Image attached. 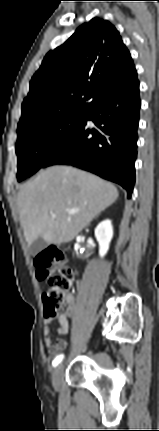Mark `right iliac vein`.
Listing matches in <instances>:
<instances>
[{"label":"right iliac vein","instance_id":"63e3f726","mask_svg":"<svg viewBox=\"0 0 159 431\" xmlns=\"http://www.w3.org/2000/svg\"><path fill=\"white\" fill-rule=\"evenodd\" d=\"M64 371V365L60 364L53 371L52 382L53 386L57 389L60 386L61 378Z\"/></svg>","mask_w":159,"mask_h":431}]
</instances>
